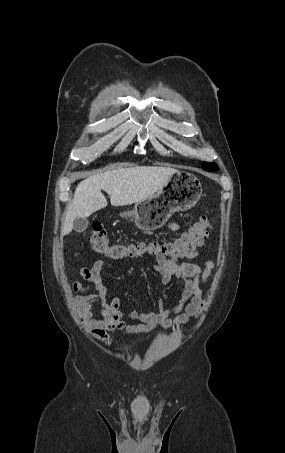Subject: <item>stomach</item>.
I'll return each mask as SVG.
<instances>
[{"label": "stomach", "instance_id": "stomach-1", "mask_svg": "<svg viewBox=\"0 0 285 453\" xmlns=\"http://www.w3.org/2000/svg\"><path fill=\"white\" fill-rule=\"evenodd\" d=\"M202 194L200 180L193 174L178 171L157 194L135 204L121 217L131 219L139 229L150 231L161 228L177 211H186L199 201Z\"/></svg>", "mask_w": 285, "mask_h": 453}]
</instances>
